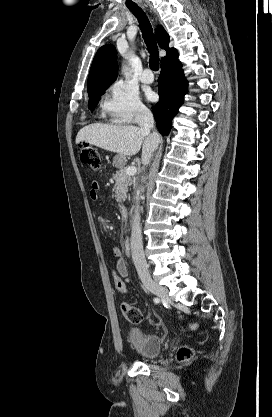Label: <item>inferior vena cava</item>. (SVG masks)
<instances>
[{"instance_id":"inferior-vena-cava-1","label":"inferior vena cava","mask_w":272,"mask_h":417,"mask_svg":"<svg viewBox=\"0 0 272 417\" xmlns=\"http://www.w3.org/2000/svg\"><path fill=\"white\" fill-rule=\"evenodd\" d=\"M136 122L141 127V130L145 132H150L154 127V118L151 111L146 107H140L136 118ZM153 135H158L156 132L152 133ZM131 251H132V260L136 267L139 276H148V265L145 259L142 243V234L140 226V214L139 207L137 205L135 210V215L133 218L132 232H131Z\"/></svg>"}]
</instances>
